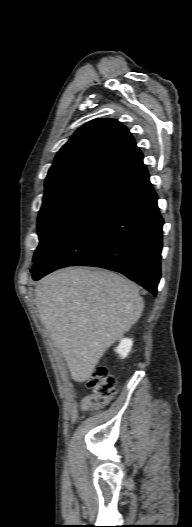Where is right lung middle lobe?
Listing matches in <instances>:
<instances>
[{"label": "right lung middle lobe", "mask_w": 192, "mask_h": 527, "mask_svg": "<svg viewBox=\"0 0 192 527\" xmlns=\"http://www.w3.org/2000/svg\"><path fill=\"white\" fill-rule=\"evenodd\" d=\"M106 183L103 179L83 178L45 191L37 224L40 243L33 262L47 254Z\"/></svg>", "instance_id": "obj_1"}]
</instances>
